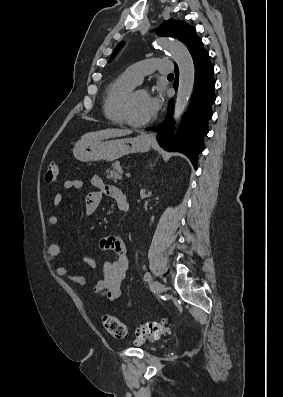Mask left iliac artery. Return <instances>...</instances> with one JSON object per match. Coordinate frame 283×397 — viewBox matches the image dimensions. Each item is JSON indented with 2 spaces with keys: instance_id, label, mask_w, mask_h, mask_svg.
<instances>
[{
  "instance_id": "44dca946",
  "label": "left iliac artery",
  "mask_w": 283,
  "mask_h": 397,
  "mask_svg": "<svg viewBox=\"0 0 283 397\" xmlns=\"http://www.w3.org/2000/svg\"><path fill=\"white\" fill-rule=\"evenodd\" d=\"M151 279H152L151 274H150L149 272H147V273L144 275V280H145V281H151Z\"/></svg>"
}]
</instances>
